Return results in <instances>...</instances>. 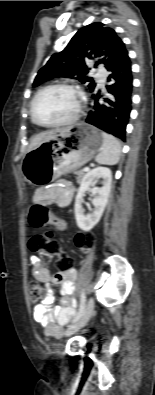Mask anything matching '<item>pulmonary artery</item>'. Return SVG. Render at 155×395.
<instances>
[{
    "instance_id": "pulmonary-artery-1",
    "label": "pulmonary artery",
    "mask_w": 155,
    "mask_h": 395,
    "mask_svg": "<svg viewBox=\"0 0 155 395\" xmlns=\"http://www.w3.org/2000/svg\"><path fill=\"white\" fill-rule=\"evenodd\" d=\"M106 76H107L106 72L103 69L98 70L96 77H97V80L101 86H103L105 84Z\"/></svg>"
}]
</instances>
